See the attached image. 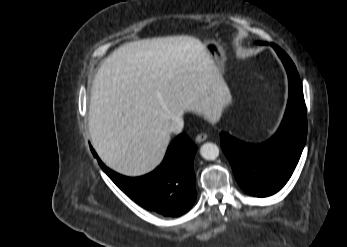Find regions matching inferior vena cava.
I'll return each mask as SVG.
<instances>
[{"instance_id": "602c4592", "label": "inferior vena cava", "mask_w": 347, "mask_h": 247, "mask_svg": "<svg viewBox=\"0 0 347 247\" xmlns=\"http://www.w3.org/2000/svg\"><path fill=\"white\" fill-rule=\"evenodd\" d=\"M183 127H184L183 118L175 117V118H173V121L168 128V132L179 134V133H181Z\"/></svg>"}]
</instances>
